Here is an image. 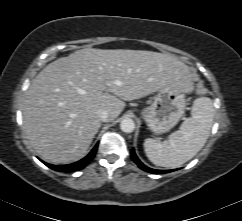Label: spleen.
Here are the masks:
<instances>
[{
    "mask_svg": "<svg viewBox=\"0 0 242 221\" xmlns=\"http://www.w3.org/2000/svg\"><path fill=\"white\" fill-rule=\"evenodd\" d=\"M213 101L208 97L193 102L191 116L163 142L147 138L144 151L157 166L176 168L192 159L205 145L214 118Z\"/></svg>",
    "mask_w": 242,
    "mask_h": 221,
    "instance_id": "3e777b00",
    "label": "spleen"
}]
</instances>
